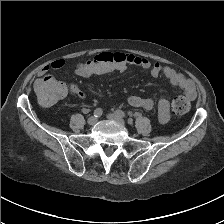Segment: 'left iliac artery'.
Here are the masks:
<instances>
[{
	"mask_svg": "<svg viewBox=\"0 0 224 224\" xmlns=\"http://www.w3.org/2000/svg\"><path fill=\"white\" fill-rule=\"evenodd\" d=\"M115 114H117L118 116H120L122 118L125 117V113L122 110H116Z\"/></svg>",
	"mask_w": 224,
	"mask_h": 224,
	"instance_id": "44dca946",
	"label": "left iliac artery"
}]
</instances>
